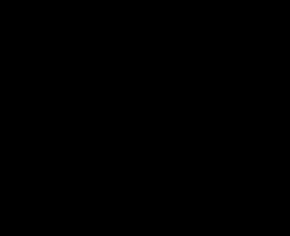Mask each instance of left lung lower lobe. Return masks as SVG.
<instances>
[{
	"label": "left lung lower lobe",
	"instance_id": "1",
	"mask_svg": "<svg viewBox=\"0 0 290 236\" xmlns=\"http://www.w3.org/2000/svg\"><path fill=\"white\" fill-rule=\"evenodd\" d=\"M241 119L235 90L158 129V167L166 187L177 194H193L215 182L228 164Z\"/></svg>",
	"mask_w": 290,
	"mask_h": 236
}]
</instances>
